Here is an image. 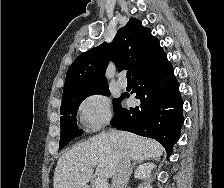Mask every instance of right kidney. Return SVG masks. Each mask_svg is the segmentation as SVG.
I'll return each instance as SVG.
<instances>
[{
	"label": "right kidney",
	"instance_id": "1",
	"mask_svg": "<svg viewBox=\"0 0 224 188\" xmlns=\"http://www.w3.org/2000/svg\"><path fill=\"white\" fill-rule=\"evenodd\" d=\"M154 168H155V164H153V163L142 164L136 169L134 177L136 179H144V178L150 176L151 171Z\"/></svg>",
	"mask_w": 224,
	"mask_h": 188
}]
</instances>
